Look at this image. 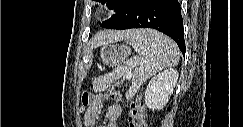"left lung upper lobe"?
Returning a JSON list of instances; mask_svg holds the SVG:
<instances>
[{
    "mask_svg": "<svg viewBox=\"0 0 243 127\" xmlns=\"http://www.w3.org/2000/svg\"><path fill=\"white\" fill-rule=\"evenodd\" d=\"M101 1L103 3L108 2V6L113 9H117L125 0H96ZM106 24V21L102 23V26Z\"/></svg>",
    "mask_w": 243,
    "mask_h": 127,
    "instance_id": "5c2ea615",
    "label": "left lung upper lobe"
}]
</instances>
